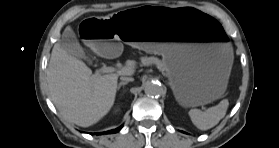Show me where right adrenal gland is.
Wrapping results in <instances>:
<instances>
[{
  "instance_id": "obj_1",
  "label": "right adrenal gland",
  "mask_w": 279,
  "mask_h": 148,
  "mask_svg": "<svg viewBox=\"0 0 279 148\" xmlns=\"http://www.w3.org/2000/svg\"><path fill=\"white\" fill-rule=\"evenodd\" d=\"M127 83H128V81L120 82L118 87H117V90H119L121 88V86H125Z\"/></svg>"
}]
</instances>
